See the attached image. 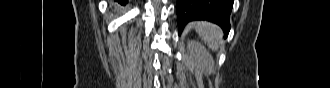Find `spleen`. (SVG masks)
Masks as SVG:
<instances>
[{
    "mask_svg": "<svg viewBox=\"0 0 330 88\" xmlns=\"http://www.w3.org/2000/svg\"><path fill=\"white\" fill-rule=\"evenodd\" d=\"M194 27L199 37L207 43L209 48L218 50L221 42V30L218 26L208 22H195Z\"/></svg>",
    "mask_w": 330,
    "mask_h": 88,
    "instance_id": "1",
    "label": "spleen"
}]
</instances>
